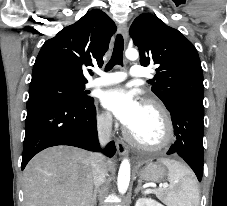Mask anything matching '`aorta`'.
Segmentation results:
<instances>
[{"mask_svg":"<svg viewBox=\"0 0 227 206\" xmlns=\"http://www.w3.org/2000/svg\"><path fill=\"white\" fill-rule=\"evenodd\" d=\"M125 56L129 60H136L139 57V53L134 48H128L125 52ZM130 172V162L127 158H125L121 162L117 179L118 191L121 194H124L128 189L130 182Z\"/></svg>","mask_w":227,"mask_h":206,"instance_id":"762f6f07","label":"aorta"}]
</instances>
